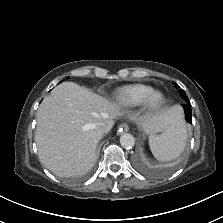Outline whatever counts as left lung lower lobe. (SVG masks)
I'll use <instances>...</instances> for the list:
<instances>
[{"label": "left lung lower lobe", "instance_id": "obj_1", "mask_svg": "<svg viewBox=\"0 0 223 223\" xmlns=\"http://www.w3.org/2000/svg\"><path fill=\"white\" fill-rule=\"evenodd\" d=\"M183 108L185 110V118L189 123H192V110L190 108L189 101H186V103L183 105Z\"/></svg>", "mask_w": 223, "mask_h": 223}]
</instances>
